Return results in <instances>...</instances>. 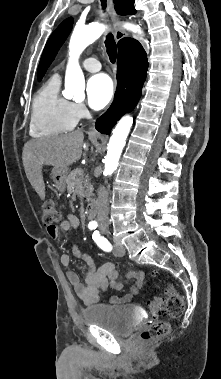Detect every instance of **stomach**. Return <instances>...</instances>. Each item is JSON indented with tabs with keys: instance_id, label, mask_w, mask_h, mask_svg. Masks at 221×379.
<instances>
[{
	"instance_id": "1",
	"label": "stomach",
	"mask_w": 221,
	"mask_h": 379,
	"mask_svg": "<svg viewBox=\"0 0 221 379\" xmlns=\"http://www.w3.org/2000/svg\"><path fill=\"white\" fill-rule=\"evenodd\" d=\"M68 175L67 167H53L52 179L56 189L60 192L65 191L66 179Z\"/></svg>"
}]
</instances>
